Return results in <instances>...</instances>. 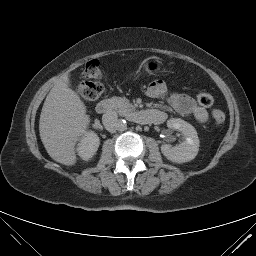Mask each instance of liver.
<instances>
[{"label": "liver", "mask_w": 256, "mask_h": 256, "mask_svg": "<svg viewBox=\"0 0 256 256\" xmlns=\"http://www.w3.org/2000/svg\"><path fill=\"white\" fill-rule=\"evenodd\" d=\"M89 123L86 106L65 75L50 90L40 115V138L49 156L61 164L75 165V145Z\"/></svg>", "instance_id": "1"}]
</instances>
